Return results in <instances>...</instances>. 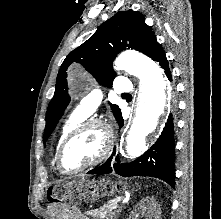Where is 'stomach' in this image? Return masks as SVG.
Wrapping results in <instances>:
<instances>
[{
  "label": "stomach",
  "instance_id": "1",
  "mask_svg": "<svg viewBox=\"0 0 221 219\" xmlns=\"http://www.w3.org/2000/svg\"><path fill=\"white\" fill-rule=\"evenodd\" d=\"M66 185L73 190H62L63 199H71V204H92L98 198L116 199L118 190L125 189L123 182L108 178H69Z\"/></svg>",
  "mask_w": 221,
  "mask_h": 219
}]
</instances>
